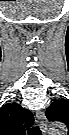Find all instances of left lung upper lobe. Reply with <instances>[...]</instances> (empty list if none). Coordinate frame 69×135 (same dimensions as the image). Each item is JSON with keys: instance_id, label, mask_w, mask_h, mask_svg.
Instances as JSON below:
<instances>
[{"instance_id": "5c2ea615", "label": "left lung upper lobe", "mask_w": 69, "mask_h": 135, "mask_svg": "<svg viewBox=\"0 0 69 135\" xmlns=\"http://www.w3.org/2000/svg\"><path fill=\"white\" fill-rule=\"evenodd\" d=\"M45 114L50 121L57 120L67 123L69 120V101L60 99L53 102Z\"/></svg>"}]
</instances>
